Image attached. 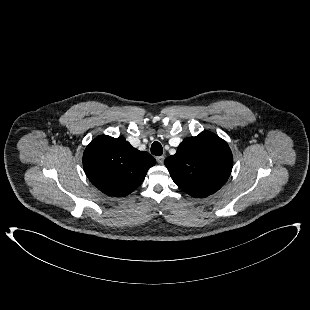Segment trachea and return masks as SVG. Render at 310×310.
<instances>
[{
    "label": "trachea",
    "instance_id": "trachea-1",
    "mask_svg": "<svg viewBox=\"0 0 310 310\" xmlns=\"http://www.w3.org/2000/svg\"><path fill=\"white\" fill-rule=\"evenodd\" d=\"M151 153L156 156H161L163 154L162 145L155 141L151 146Z\"/></svg>",
    "mask_w": 310,
    "mask_h": 310
}]
</instances>
